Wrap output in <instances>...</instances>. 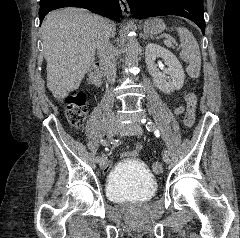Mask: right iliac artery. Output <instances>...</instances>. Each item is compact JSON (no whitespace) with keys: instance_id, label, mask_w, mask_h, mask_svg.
Listing matches in <instances>:
<instances>
[{"instance_id":"1","label":"right iliac artery","mask_w":240,"mask_h":238,"mask_svg":"<svg viewBox=\"0 0 240 238\" xmlns=\"http://www.w3.org/2000/svg\"><path fill=\"white\" fill-rule=\"evenodd\" d=\"M126 136H128V135H126ZM107 143L109 144L110 142H109V141L107 142L106 140H105V141H103V140H100V141H99V144H100L102 147H105ZM119 143H120L119 140H115V142H114L113 144H117V145H118ZM100 160H101V157L98 156V157L96 158V161L99 162Z\"/></svg>"}]
</instances>
